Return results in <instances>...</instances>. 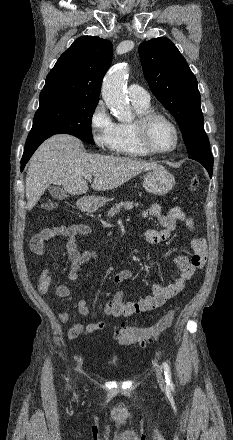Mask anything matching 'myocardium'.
Wrapping results in <instances>:
<instances>
[{
  "mask_svg": "<svg viewBox=\"0 0 233 440\" xmlns=\"http://www.w3.org/2000/svg\"><path fill=\"white\" fill-rule=\"evenodd\" d=\"M162 119L166 121L173 129L175 134L174 145L167 150L156 149L150 142V129L154 121ZM133 129L140 147L151 155H164L175 151L180 142V132L176 123L166 114L149 110L139 114L133 122Z\"/></svg>",
  "mask_w": 233,
  "mask_h": 440,
  "instance_id": "myocardium-1",
  "label": "myocardium"
}]
</instances>
